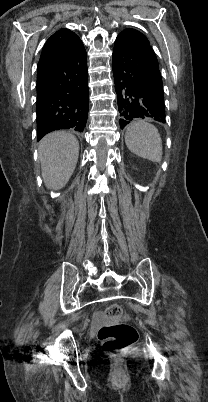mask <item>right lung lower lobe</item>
I'll use <instances>...</instances> for the list:
<instances>
[{"label":"right lung lower lobe","instance_id":"right-lung-lower-lobe-1","mask_svg":"<svg viewBox=\"0 0 208 402\" xmlns=\"http://www.w3.org/2000/svg\"><path fill=\"white\" fill-rule=\"evenodd\" d=\"M87 55L76 34L43 47L37 69L38 141L51 131L83 132L88 115Z\"/></svg>","mask_w":208,"mask_h":402}]
</instances>
